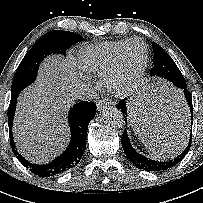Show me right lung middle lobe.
Wrapping results in <instances>:
<instances>
[{
  "instance_id": "right-lung-middle-lobe-1",
  "label": "right lung middle lobe",
  "mask_w": 203,
  "mask_h": 203,
  "mask_svg": "<svg viewBox=\"0 0 203 203\" xmlns=\"http://www.w3.org/2000/svg\"><path fill=\"white\" fill-rule=\"evenodd\" d=\"M81 41H84L82 36L68 31L53 30L42 36L21 61L12 83V96H18L25 87L35 81L39 64L45 56H65L70 46Z\"/></svg>"
}]
</instances>
